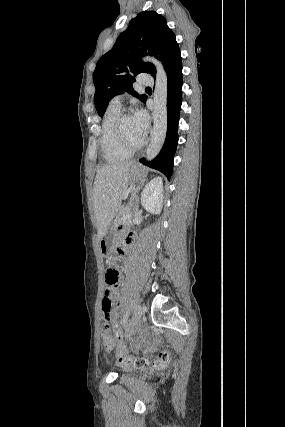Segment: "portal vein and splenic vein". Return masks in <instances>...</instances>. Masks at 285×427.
I'll return each instance as SVG.
<instances>
[{"instance_id":"obj_1","label":"portal vein and splenic vein","mask_w":285,"mask_h":427,"mask_svg":"<svg viewBox=\"0 0 285 427\" xmlns=\"http://www.w3.org/2000/svg\"><path fill=\"white\" fill-rule=\"evenodd\" d=\"M131 217V215L130 214H126L125 216H124V218L125 219H129Z\"/></svg>"}]
</instances>
